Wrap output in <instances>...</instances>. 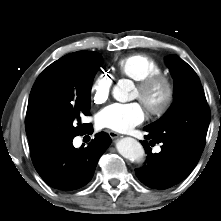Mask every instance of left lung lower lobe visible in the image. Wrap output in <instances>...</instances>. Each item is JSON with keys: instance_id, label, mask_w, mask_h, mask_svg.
Instances as JSON below:
<instances>
[{"instance_id": "0a47b994", "label": "left lung lower lobe", "mask_w": 221, "mask_h": 221, "mask_svg": "<svg viewBox=\"0 0 221 221\" xmlns=\"http://www.w3.org/2000/svg\"><path fill=\"white\" fill-rule=\"evenodd\" d=\"M144 131L148 132L146 140L149 144H155L147 127ZM140 141L144 146L148 156L145 164L136 169L138 179L146 186L154 189L170 188L184 178H186L197 165L202 152L192 147L172 141H162L161 152L153 154L148 142Z\"/></svg>"}]
</instances>
